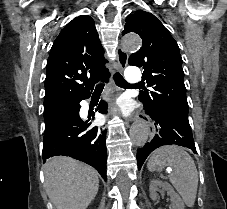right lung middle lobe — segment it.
Here are the masks:
<instances>
[{"mask_svg":"<svg viewBox=\"0 0 227 209\" xmlns=\"http://www.w3.org/2000/svg\"><path fill=\"white\" fill-rule=\"evenodd\" d=\"M74 107L73 103H61L44 107L45 129L52 126Z\"/></svg>","mask_w":227,"mask_h":209,"instance_id":"1","label":"right lung middle lobe"}]
</instances>
